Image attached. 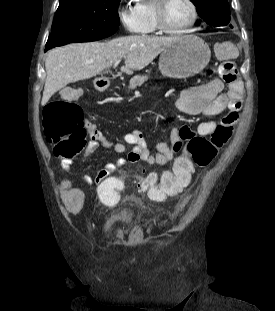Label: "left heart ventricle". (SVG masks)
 <instances>
[{
	"label": "left heart ventricle",
	"instance_id": "obj_1",
	"mask_svg": "<svg viewBox=\"0 0 275 311\" xmlns=\"http://www.w3.org/2000/svg\"><path fill=\"white\" fill-rule=\"evenodd\" d=\"M191 17V9L186 0H170L164 12L165 23L171 29L182 28Z\"/></svg>",
	"mask_w": 275,
	"mask_h": 311
}]
</instances>
